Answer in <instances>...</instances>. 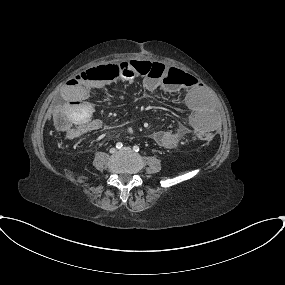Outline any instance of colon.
<instances>
[{
    "label": "colon",
    "instance_id": "obj_1",
    "mask_svg": "<svg viewBox=\"0 0 285 285\" xmlns=\"http://www.w3.org/2000/svg\"><path fill=\"white\" fill-rule=\"evenodd\" d=\"M114 72L117 75H125L128 77L140 76L150 77L162 81L167 86H176L187 84L190 82V77L185 72L174 68L165 67L157 62L147 61H130L118 62L106 65L98 69H89L81 73L80 76L87 79H100L105 72ZM55 123L57 128L63 133H71L75 130V125L72 123L69 115L64 110H59L55 115ZM211 139L207 133L196 134L193 140L200 142H209Z\"/></svg>",
    "mask_w": 285,
    "mask_h": 285
}]
</instances>
